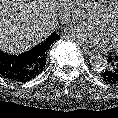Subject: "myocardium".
I'll use <instances>...</instances> for the list:
<instances>
[{"label":"myocardium","mask_w":118,"mask_h":118,"mask_svg":"<svg viewBox=\"0 0 118 118\" xmlns=\"http://www.w3.org/2000/svg\"><path fill=\"white\" fill-rule=\"evenodd\" d=\"M117 5H118V0H112L104 7L101 8V12L105 14H111L114 11V9L117 7ZM112 47L118 50V45H113Z\"/></svg>","instance_id":"obj_1"}]
</instances>
